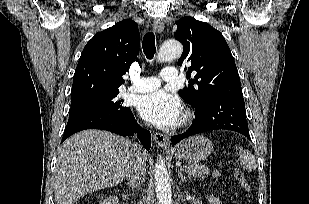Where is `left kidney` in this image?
I'll return each instance as SVG.
<instances>
[{"mask_svg": "<svg viewBox=\"0 0 309 204\" xmlns=\"http://www.w3.org/2000/svg\"><path fill=\"white\" fill-rule=\"evenodd\" d=\"M208 200L211 204H222L221 201L218 198L214 197L213 195H210L208 197Z\"/></svg>", "mask_w": 309, "mask_h": 204, "instance_id": "obj_1", "label": "left kidney"}]
</instances>
